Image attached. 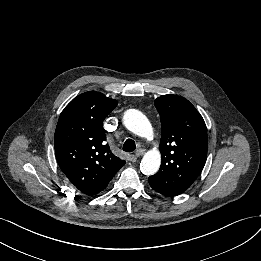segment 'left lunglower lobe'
Segmentation results:
<instances>
[{
  "label": "left lung lower lobe",
  "instance_id": "obj_1",
  "mask_svg": "<svg viewBox=\"0 0 261 261\" xmlns=\"http://www.w3.org/2000/svg\"><path fill=\"white\" fill-rule=\"evenodd\" d=\"M150 186L158 193L171 197V195L167 194L165 191H163L159 186H157L155 183L149 181Z\"/></svg>",
  "mask_w": 261,
  "mask_h": 261
}]
</instances>
